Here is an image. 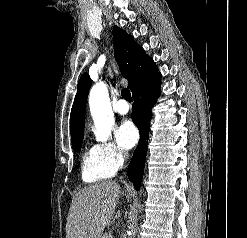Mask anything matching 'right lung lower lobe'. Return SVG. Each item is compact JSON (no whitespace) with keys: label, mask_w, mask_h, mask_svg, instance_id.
Segmentation results:
<instances>
[{"label":"right lung lower lobe","mask_w":247,"mask_h":238,"mask_svg":"<svg viewBox=\"0 0 247 238\" xmlns=\"http://www.w3.org/2000/svg\"><path fill=\"white\" fill-rule=\"evenodd\" d=\"M161 74L157 73L150 81L145 83L133 93L132 120L139 129L140 140L135 149L128 167L129 180L133 182L136 190L140 189L143 178L145 159L147 154V138L149 134L151 108L160 94Z\"/></svg>","instance_id":"98d812e1"}]
</instances>
